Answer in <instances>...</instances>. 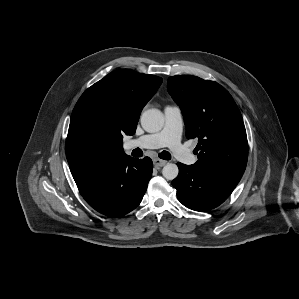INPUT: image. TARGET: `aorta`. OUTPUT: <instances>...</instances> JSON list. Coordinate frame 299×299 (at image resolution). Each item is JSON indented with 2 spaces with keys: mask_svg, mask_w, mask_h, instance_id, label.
<instances>
[{
  "mask_svg": "<svg viewBox=\"0 0 299 299\" xmlns=\"http://www.w3.org/2000/svg\"><path fill=\"white\" fill-rule=\"evenodd\" d=\"M141 125L146 132L155 133L164 125V117L160 110L152 108L144 111L141 115ZM179 169L174 163H167L162 169V175L167 180H173L178 176Z\"/></svg>",
  "mask_w": 299,
  "mask_h": 299,
  "instance_id": "obj_1",
  "label": "aorta"
}]
</instances>
